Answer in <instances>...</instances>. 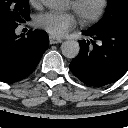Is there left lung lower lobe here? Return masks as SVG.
Segmentation results:
<instances>
[{
    "mask_svg": "<svg viewBox=\"0 0 128 128\" xmlns=\"http://www.w3.org/2000/svg\"><path fill=\"white\" fill-rule=\"evenodd\" d=\"M83 34L92 36L93 40L79 42L80 53L70 63L72 73L95 87L119 80L128 71V26L106 33L89 29Z\"/></svg>",
    "mask_w": 128,
    "mask_h": 128,
    "instance_id": "1",
    "label": "left lung lower lobe"
}]
</instances>
